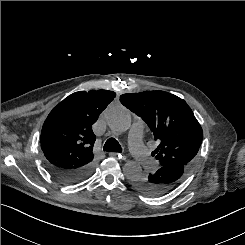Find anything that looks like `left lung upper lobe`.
<instances>
[{
    "instance_id": "obj_1",
    "label": "left lung upper lobe",
    "mask_w": 245,
    "mask_h": 245,
    "mask_svg": "<svg viewBox=\"0 0 245 245\" xmlns=\"http://www.w3.org/2000/svg\"><path fill=\"white\" fill-rule=\"evenodd\" d=\"M121 103L149 126L159 146L152 153L159 167L181 164L191 167L203 140V131L187 103L168 92L123 94Z\"/></svg>"
}]
</instances>
